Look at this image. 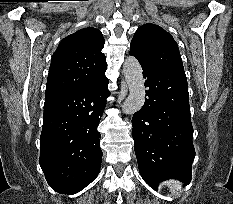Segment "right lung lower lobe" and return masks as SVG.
I'll use <instances>...</instances> for the list:
<instances>
[{
  "label": "right lung lower lobe",
  "mask_w": 233,
  "mask_h": 204,
  "mask_svg": "<svg viewBox=\"0 0 233 204\" xmlns=\"http://www.w3.org/2000/svg\"><path fill=\"white\" fill-rule=\"evenodd\" d=\"M106 69L90 84L44 103L40 166L59 193H77L100 172L97 126L109 96Z\"/></svg>",
  "instance_id": "right-lung-lower-lobe-1"
}]
</instances>
